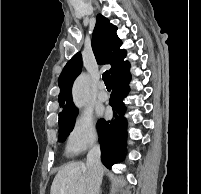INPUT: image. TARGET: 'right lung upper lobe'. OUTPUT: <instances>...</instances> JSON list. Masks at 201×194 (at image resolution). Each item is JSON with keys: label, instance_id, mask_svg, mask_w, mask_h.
I'll return each mask as SVG.
<instances>
[{"label": "right lung upper lobe", "instance_id": "obj_1", "mask_svg": "<svg viewBox=\"0 0 201 194\" xmlns=\"http://www.w3.org/2000/svg\"><path fill=\"white\" fill-rule=\"evenodd\" d=\"M96 19L92 36V49L98 64H111L110 72L111 78H113L129 67L130 64L128 61H123L126 57V51L119 49L122 42L116 35L117 27L101 14H98ZM81 69L82 56L78 52L67 62L59 76V104L63 108L62 112L59 113V119L78 111L72 102L71 89Z\"/></svg>", "mask_w": 201, "mask_h": 194}]
</instances>
